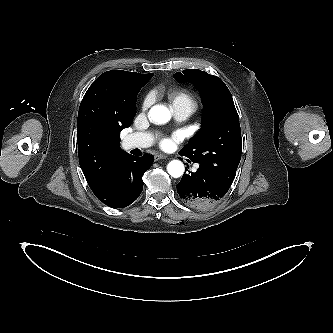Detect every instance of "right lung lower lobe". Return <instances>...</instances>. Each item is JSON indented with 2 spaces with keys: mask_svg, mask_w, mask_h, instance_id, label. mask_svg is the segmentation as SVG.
<instances>
[{
  "mask_svg": "<svg viewBox=\"0 0 333 333\" xmlns=\"http://www.w3.org/2000/svg\"><path fill=\"white\" fill-rule=\"evenodd\" d=\"M153 164L149 154H125L117 165L109 186L96 197L109 207L123 208L133 203L143 189V174Z\"/></svg>",
  "mask_w": 333,
  "mask_h": 333,
  "instance_id": "1",
  "label": "right lung lower lobe"
}]
</instances>
